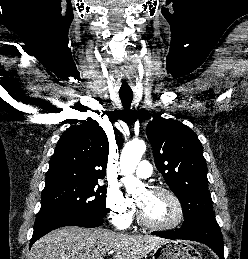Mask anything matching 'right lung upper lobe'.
<instances>
[{
    "mask_svg": "<svg viewBox=\"0 0 248 259\" xmlns=\"http://www.w3.org/2000/svg\"><path fill=\"white\" fill-rule=\"evenodd\" d=\"M108 154V138L97 121L71 126L56 145L45 183L98 181L105 176Z\"/></svg>",
    "mask_w": 248,
    "mask_h": 259,
    "instance_id": "obj_1",
    "label": "right lung upper lobe"
}]
</instances>
